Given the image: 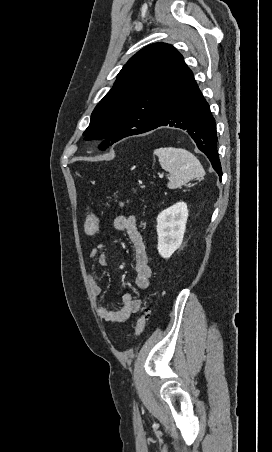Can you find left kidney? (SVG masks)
<instances>
[{
  "instance_id": "5707ae66",
  "label": "left kidney",
  "mask_w": 272,
  "mask_h": 452,
  "mask_svg": "<svg viewBox=\"0 0 272 452\" xmlns=\"http://www.w3.org/2000/svg\"><path fill=\"white\" fill-rule=\"evenodd\" d=\"M188 208L185 202H178L163 210L157 217V249L162 258L168 259L181 246Z\"/></svg>"
}]
</instances>
